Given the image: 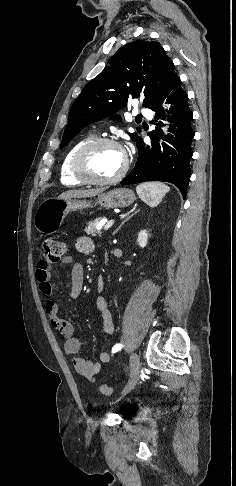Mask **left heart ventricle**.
Segmentation results:
<instances>
[{
    "label": "left heart ventricle",
    "mask_w": 236,
    "mask_h": 486,
    "mask_svg": "<svg viewBox=\"0 0 236 486\" xmlns=\"http://www.w3.org/2000/svg\"><path fill=\"white\" fill-rule=\"evenodd\" d=\"M124 164L122 151L111 145H101L92 150L86 159L88 171L97 178H111L119 173Z\"/></svg>",
    "instance_id": "obj_1"
}]
</instances>
